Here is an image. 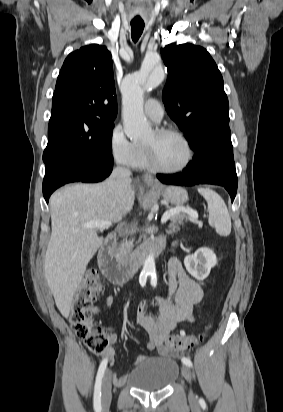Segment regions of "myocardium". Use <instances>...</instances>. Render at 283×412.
Instances as JSON below:
<instances>
[{
  "instance_id": "obj_1",
  "label": "myocardium",
  "mask_w": 283,
  "mask_h": 412,
  "mask_svg": "<svg viewBox=\"0 0 283 412\" xmlns=\"http://www.w3.org/2000/svg\"><path fill=\"white\" fill-rule=\"evenodd\" d=\"M154 132L156 135H159V136L172 135L178 138L186 147L187 157L184 163L177 168H171V169L163 168L159 166L157 162L155 161L152 147L149 144L144 143L143 147H144L145 157H146L149 168L152 169L153 171L165 173V174H176V173H180L186 170L190 166L193 160V157H194V150H193V147L189 139L180 131L176 129H172V128H156Z\"/></svg>"
}]
</instances>
